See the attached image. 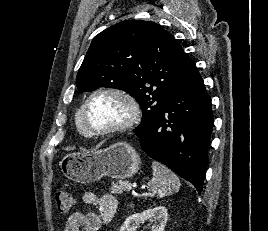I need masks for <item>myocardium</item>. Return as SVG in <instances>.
<instances>
[{
	"instance_id": "myocardium-1",
	"label": "myocardium",
	"mask_w": 268,
	"mask_h": 231,
	"mask_svg": "<svg viewBox=\"0 0 268 231\" xmlns=\"http://www.w3.org/2000/svg\"><path fill=\"white\" fill-rule=\"evenodd\" d=\"M112 95L117 98H119L127 107V115L124 121L117 125L110 126L108 128L96 130L93 129L89 123L87 118V109L90 104V102L98 95ZM81 116H82V122L86 129V134L88 136H108V135H114L119 134L122 132H125L134 125L137 124V122L140 119L141 116V109L139 106V103L137 100L128 92L115 87H103L94 90L92 93L89 94V96L84 101L82 107H81Z\"/></svg>"
}]
</instances>
